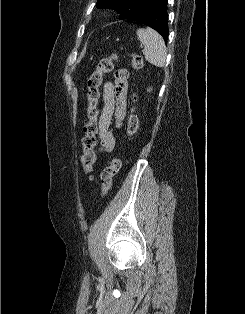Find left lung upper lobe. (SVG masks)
Listing matches in <instances>:
<instances>
[{
  "label": "left lung upper lobe",
  "instance_id": "5c2ea615",
  "mask_svg": "<svg viewBox=\"0 0 245 314\" xmlns=\"http://www.w3.org/2000/svg\"><path fill=\"white\" fill-rule=\"evenodd\" d=\"M145 0H98L97 8H112L121 15V20H129L134 16Z\"/></svg>",
  "mask_w": 245,
  "mask_h": 314
}]
</instances>
